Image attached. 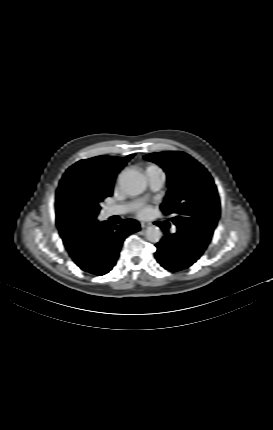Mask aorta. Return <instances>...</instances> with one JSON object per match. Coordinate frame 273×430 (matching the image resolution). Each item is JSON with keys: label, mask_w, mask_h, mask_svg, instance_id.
I'll return each instance as SVG.
<instances>
[{"label": "aorta", "mask_w": 273, "mask_h": 430, "mask_svg": "<svg viewBox=\"0 0 273 430\" xmlns=\"http://www.w3.org/2000/svg\"><path fill=\"white\" fill-rule=\"evenodd\" d=\"M119 185L121 189L130 196H137L146 188L144 175L137 170H128L119 176ZM162 232L159 227L152 225L147 227L145 237L152 243L160 241Z\"/></svg>", "instance_id": "762f6f07"}]
</instances>
